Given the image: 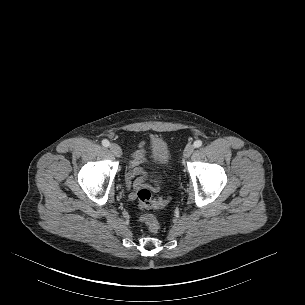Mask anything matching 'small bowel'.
Instances as JSON below:
<instances>
[{"label": "small bowel", "mask_w": 305, "mask_h": 305, "mask_svg": "<svg viewBox=\"0 0 305 305\" xmlns=\"http://www.w3.org/2000/svg\"><path fill=\"white\" fill-rule=\"evenodd\" d=\"M147 159V149H146V143L142 142L139 144L137 150L134 152L132 156V160L130 162L131 171L126 176V186L127 188H130L131 186L134 187V189L138 190L144 186V172L137 168V166L144 162ZM136 173L141 174V176L133 181V178ZM129 197L131 199H135L136 195L135 193H130Z\"/></svg>", "instance_id": "small-bowel-1"}]
</instances>
